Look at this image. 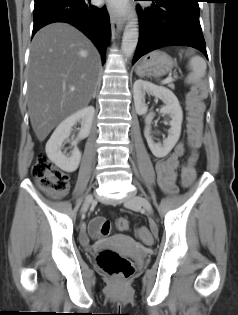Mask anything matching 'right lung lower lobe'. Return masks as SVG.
<instances>
[{
    "mask_svg": "<svg viewBox=\"0 0 238 315\" xmlns=\"http://www.w3.org/2000/svg\"><path fill=\"white\" fill-rule=\"evenodd\" d=\"M33 35L52 22H66L81 30L98 48L105 62L111 27L105 7L90 4V0H34Z\"/></svg>",
    "mask_w": 238,
    "mask_h": 315,
    "instance_id": "obj_1",
    "label": "right lung lower lobe"
}]
</instances>
